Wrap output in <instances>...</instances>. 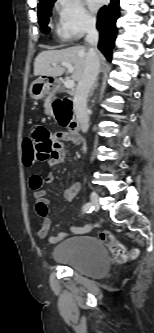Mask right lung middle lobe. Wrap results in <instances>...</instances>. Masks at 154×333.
Returning a JSON list of instances; mask_svg holds the SVG:
<instances>
[{
	"label": "right lung middle lobe",
	"mask_w": 154,
	"mask_h": 333,
	"mask_svg": "<svg viewBox=\"0 0 154 333\" xmlns=\"http://www.w3.org/2000/svg\"><path fill=\"white\" fill-rule=\"evenodd\" d=\"M56 0H42L38 4L39 24L43 33H48L50 28L48 26L49 16L51 15V8Z\"/></svg>",
	"instance_id": "dd1d6c3e"
}]
</instances>
